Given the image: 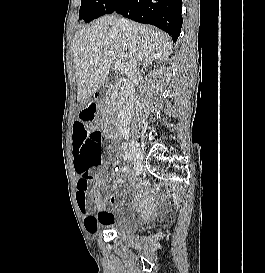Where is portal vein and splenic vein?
<instances>
[{"mask_svg": "<svg viewBox=\"0 0 265 273\" xmlns=\"http://www.w3.org/2000/svg\"><path fill=\"white\" fill-rule=\"evenodd\" d=\"M125 68V63L121 60L115 62V69L117 71L123 70Z\"/></svg>", "mask_w": 265, "mask_h": 273, "instance_id": "portal-vein-and-splenic-vein-1", "label": "portal vein and splenic vein"}]
</instances>
